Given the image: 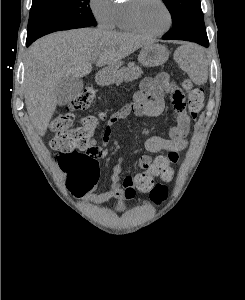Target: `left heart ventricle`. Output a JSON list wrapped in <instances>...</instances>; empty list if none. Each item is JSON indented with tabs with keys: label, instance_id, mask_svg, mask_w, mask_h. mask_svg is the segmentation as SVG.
<instances>
[{
	"label": "left heart ventricle",
	"instance_id": "left-heart-ventricle-1",
	"mask_svg": "<svg viewBox=\"0 0 245 300\" xmlns=\"http://www.w3.org/2000/svg\"><path fill=\"white\" fill-rule=\"evenodd\" d=\"M138 14L142 25L151 32L162 30L168 22L166 11L157 0H143Z\"/></svg>",
	"mask_w": 245,
	"mask_h": 300
}]
</instances>
